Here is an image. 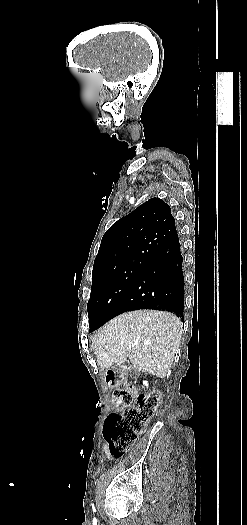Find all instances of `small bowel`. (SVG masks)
<instances>
[{
	"label": "small bowel",
	"mask_w": 247,
	"mask_h": 525,
	"mask_svg": "<svg viewBox=\"0 0 247 525\" xmlns=\"http://www.w3.org/2000/svg\"><path fill=\"white\" fill-rule=\"evenodd\" d=\"M105 451H106V453H107L108 457H109L110 459H112V457H111V456H110V455L108 454V452H107V449H106V448H105Z\"/></svg>",
	"instance_id": "obj_1"
}]
</instances>
